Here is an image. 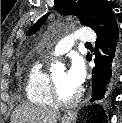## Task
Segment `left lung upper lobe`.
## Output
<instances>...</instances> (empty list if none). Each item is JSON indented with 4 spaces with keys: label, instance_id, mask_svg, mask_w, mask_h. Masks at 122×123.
I'll list each match as a JSON object with an SVG mask.
<instances>
[{
    "label": "left lung upper lobe",
    "instance_id": "obj_1",
    "mask_svg": "<svg viewBox=\"0 0 122 123\" xmlns=\"http://www.w3.org/2000/svg\"><path fill=\"white\" fill-rule=\"evenodd\" d=\"M55 9L64 14L80 16L82 24L90 26L95 32L101 29L108 17L113 14L107 0H55ZM41 17L29 30L28 35L35 33L47 19Z\"/></svg>",
    "mask_w": 122,
    "mask_h": 123
}]
</instances>
